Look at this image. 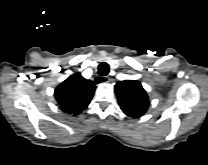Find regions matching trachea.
Returning a JSON list of instances; mask_svg holds the SVG:
<instances>
[{"label": "trachea", "instance_id": "1", "mask_svg": "<svg viewBox=\"0 0 208 165\" xmlns=\"http://www.w3.org/2000/svg\"><path fill=\"white\" fill-rule=\"evenodd\" d=\"M109 72V65L106 62H102L99 66H98V74L101 76H105L107 75ZM100 81L97 79V83H99Z\"/></svg>", "mask_w": 208, "mask_h": 165}]
</instances>
